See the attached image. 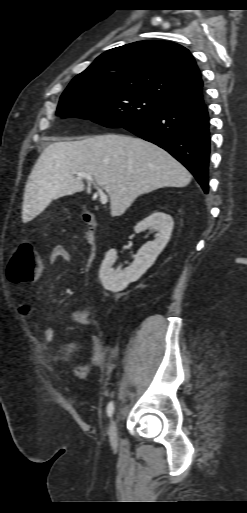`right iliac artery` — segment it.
Here are the masks:
<instances>
[{
    "label": "right iliac artery",
    "mask_w": 247,
    "mask_h": 513,
    "mask_svg": "<svg viewBox=\"0 0 247 513\" xmlns=\"http://www.w3.org/2000/svg\"><path fill=\"white\" fill-rule=\"evenodd\" d=\"M113 411H114V404H113V402H110V403L107 405V414L109 415V417H111V416H112Z\"/></svg>",
    "instance_id": "right-iliac-artery-1"
}]
</instances>
